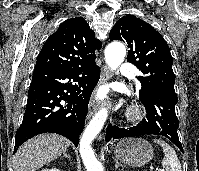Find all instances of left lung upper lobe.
<instances>
[{
	"label": "left lung upper lobe",
	"instance_id": "left-lung-upper-lobe-1",
	"mask_svg": "<svg viewBox=\"0 0 199 171\" xmlns=\"http://www.w3.org/2000/svg\"><path fill=\"white\" fill-rule=\"evenodd\" d=\"M109 38L123 41L130 48L127 61L143 73L139 77L140 91L159 92L178 99L169 47L150 24L134 15L123 16L110 31Z\"/></svg>",
	"mask_w": 199,
	"mask_h": 171
}]
</instances>
